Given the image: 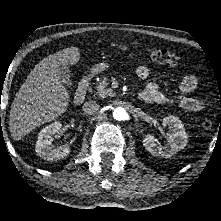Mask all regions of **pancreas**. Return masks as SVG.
<instances>
[{
  "mask_svg": "<svg viewBox=\"0 0 221 221\" xmlns=\"http://www.w3.org/2000/svg\"><path fill=\"white\" fill-rule=\"evenodd\" d=\"M108 85L107 78L103 77V79L96 86V95L100 98H105L106 96H114V92L111 88H106Z\"/></svg>",
  "mask_w": 221,
  "mask_h": 221,
  "instance_id": "pancreas-1",
  "label": "pancreas"
}]
</instances>
